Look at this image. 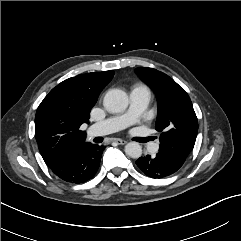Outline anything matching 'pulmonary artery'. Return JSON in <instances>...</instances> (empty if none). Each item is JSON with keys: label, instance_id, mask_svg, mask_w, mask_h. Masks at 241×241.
<instances>
[{"label": "pulmonary artery", "instance_id": "e3ab8cb5", "mask_svg": "<svg viewBox=\"0 0 241 241\" xmlns=\"http://www.w3.org/2000/svg\"><path fill=\"white\" fill-rule=\"evenodd\" d=\"M150 99L151 92L146 86L133 87L130 92L129 109L121 115L110 117L92 125L88 134L90 136H103L135 124L143 116Z\"/></svg>", "mask_w": 241, "mask_h": 241}]
</instances>
